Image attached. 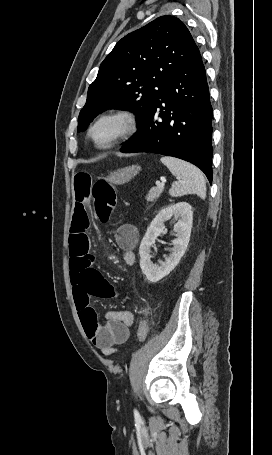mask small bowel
Here are the masks:
<instances>
[{
  "label": "small bowel",
  "mask_w": 272,
  "mask_h": 455,
  "mask_svg": "<svg viewBox=\"0 0 272 455\" xmlns=\"http://www.w3.org/2000/svg\"><path fill=\"white\" fill-rule=\"evenodd\" d=\"M93 186L94 179L90 173L80 171L75 174L76 203L69 236L70 275L75 305L85 334L104 355H111L119 351L116 348L118 345L128 340L134 315L128 310L108 311L105 313L106 323L100 325L97 313L90 304L91 297L110 299L120 294L93 266L94 256L90 252L88 237L90 220L87 211ZM138 239V230L132 224H122L115 232L116 243L123 251V260L127 265L136 262L134 250Z\"/></svg>",
  "instance_id": "c3829d8e"
}]
</instances>
